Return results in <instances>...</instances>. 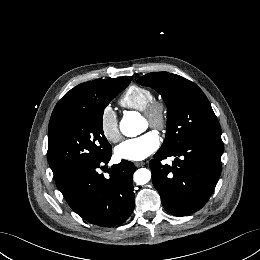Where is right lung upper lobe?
<instances>
[{
	"label": "right lung upper lobe",
	"instance_id": "obj_1",
	"mask_svg": "<svg viewBox=\"0 0 260 260\" xmlns=\"http://www.w3.org/2000/svg\"><path fill=\"white\" fill-rule=\"evenodd\" d=\"M131 77L85 82L68 91L56 104L49 123V128L74 113L85 101L97 91L107 86L128 85Z\"/></svg>",
	"mask_w": 260,
	"mask_h": 260
}]
</instances>
